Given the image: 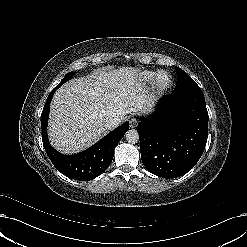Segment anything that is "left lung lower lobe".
Returning <instances> with one entry per match:
<instances>
[{"mask_svg":"<svg viewBox=\"0 0 247 247\" xmlns=\"http://www.w3.org/2000/svg\"><path fill=\"white\" fill-rule=\"evenodd\" d=\"M156 113L141 118V159L149 172L176 178L189 172L203 154L208 137V113L200 88L164 95Z\"/></svg>","mask_w":247,"mask_h":247,"instance_id":"left-lung-lower-lobe-1","label":"left lung lower lobe"}]
</instances>
